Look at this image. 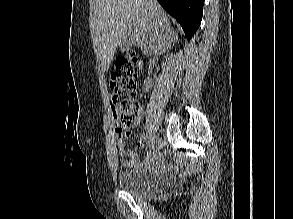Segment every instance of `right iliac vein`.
Returning a JSON list of instances; mask_svg holds the SVG:
<instances>
[{
    "label": "right iliac vein",
    "mask_w": 293,
    "mask_h": 219,
    "mask_svg": "<svg viewBox=\"0 0 293 219\" xmlns=\"http://www.w3.org/2000/svg\"><path fill=\"white\" fill-rule=\"evenodd\" d=\"M156 135L155 134H152L151 137L148 139V143L149 145H154L156 143Z\"/></svg>",
    "instance_id": "63e3f726"
}]
</instances>
